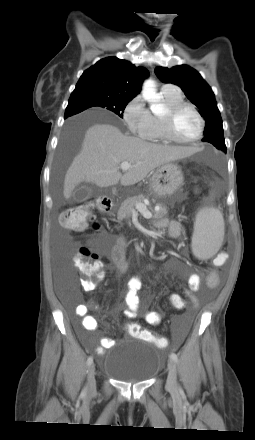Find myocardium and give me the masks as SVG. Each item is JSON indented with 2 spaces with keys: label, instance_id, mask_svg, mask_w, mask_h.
<instances>
[{
  "label": "myocardium",
  "instance_id": "1",
  "mask_svg": "<svg viewBox=\"0 0 255 440\" xmlns=\"http://www.w3.org/2000/svg\"><path fill=\"white\" fill-rule=\"evenodd\" d=\"M185 109L191 110L196 115L199 121V130L195 137L188 140H181L177 138L174 134L173 121L177 114ZM160 122L164 138L169 142L180 145H189L199 141L202 138L205 129V120L201 113L193 105L185 102L167 107L165 113L160 117Z\"/></svg>",
  "mask_w": 255,
  "mask_h": 440
}]
</instances>
